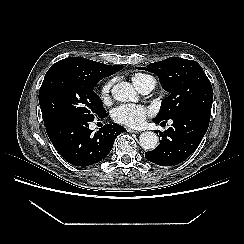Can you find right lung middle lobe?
I'll list each match as a JSON object with an SVG mask.
<instances>
[{"mask_svg":"<svg viewBox=\"0 0 244 244\" xmlns=\"http://www.w3.org/2000/svg\"><path fill=\"white\" fill-rule=\"evenodd\" d=\"M98 81L50 68L39 91L44 125L66 119L93 121L96 115L105 117L103 103L93 91Z\"/></svg>","mask_w":244,"mask_h":244,"instance_id":"right-lung-middle-lobe-1","label":"right lung middle lobe"}]
</instances>
